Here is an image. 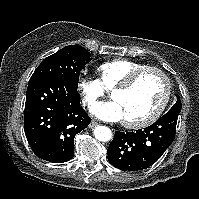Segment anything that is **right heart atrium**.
<instances>
[{
  "label": "right heart atrium",
  "mask_w": 199,
  "mask_h": 199,
  "mask_svg": "<svg viewBox=\"0 0 199 199\" xmlns=\"http://www.w3.org/2000/svg\"><path fill=\"white\" fill-rule=\"evenodd\" d=\"M78 90L83 103L87 106L94 105L106 93V89L101 82L95 78H81L78 82Z\"/></svg>",
  "instance_id": "obj_1"
}]
</instances>
